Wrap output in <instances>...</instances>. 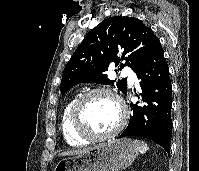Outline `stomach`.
<instances>
[{
    "instance_id": "1",
    "label": "stomach",
    "mask_w": 199,
    "mask_h": 171,
    "mask_svg": "<svg viewBox=\"0 0 199 171\" xmlns=\"http://www.w3.org/2000/svg\"><path fill=\"white\" fill-rule=\"evenodd\" d=\"M137 155V146L131 139H110L83 154L60 160L54 171H120Z\"/></svg>"
}]
</instances>
